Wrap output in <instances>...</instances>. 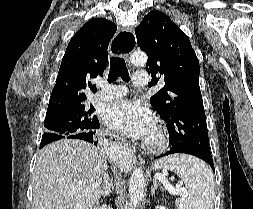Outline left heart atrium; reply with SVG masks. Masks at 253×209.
Masks as SVG:
<instances>
[{
  "mask_svg": "<svg viewBox=\"0 0 253 209\" xmlns=\"http://www.w3.org/2000/svg\"><path fill=\"white\" fill-rule=\"evenodd\" d=\"M102 119L107 126L135 139L148 138L155 125L150 111L133 100H122L106 106Z\"/></svg>",
  "mask_w": 253,
  "mask_h": 209,
  "instance_id": "39dd6f15",
  "label": "left heart atrium"
}]
</instances>
